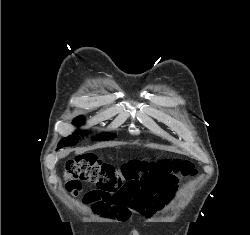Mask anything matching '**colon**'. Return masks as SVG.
Listing matches in <instances>:
<instances>
[{
    "instance_id": "1",
    "label": "colon",
    "mask_w": 250,
    "mask_h": 235,
    "mask_svg": "<svg viewBox=\"0 0 250 235\" xmlns=\"http://www.w3.org/2000/svg\"><path fill=\"white\" fill-rule=\"evenodd\" d=\"M194 168L187 160H131L120 166L100 160L95 154L78 155L66 162L63 172L66 190L77 195L81 182L97 185L87 193L86 203L93 211L112 217L127 218L128 207L142 189L152 191L174 185L177 176L192 175Z\"/></svg>"
}]
</instances>
